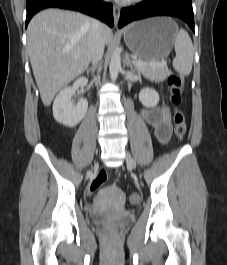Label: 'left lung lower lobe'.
<instances>
[{"mask_svg": "<svg viewBox=\"0 0 227 265\" xmlns=\"http://www.w3.org/2000/svg\"><path fill=\"white\" fill-rule=\"evenodd\" d=\"M151 16L178 17L194 31L192 0H144L134 7L123 8L118 26Z\"/></svg>", "mask_w": 227, "mask_h": 265, "instance_id": "obj_1", "label": "left lung lower lobe"}]
</instances>
